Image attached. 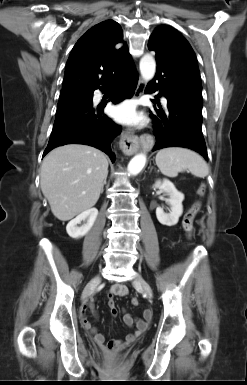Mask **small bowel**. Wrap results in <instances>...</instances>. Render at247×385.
I'll list each match as a JSON object with an SVG mask.
<instances>
[{
	"label": "small bowel",
	"mask_w": 247,
	"mask_h": 385,
	"mask_svg": "<svg viewBox=\"0 0 247 385\" xmlns=\"http://www.w3.org/2000/svg\"><path fill=\"white\" fill-rule=\"evenodd\" d=\"M127 293L128 288L124 284H114L107 291L108 306L110 308V313L113 317H115L118 313L113 298L115 296H125L127 295ZM94 301V297H91L88 302L80 308V319L84 329L92 335L97 345L102 348H105L106 344L104 335L98 332L97 329L91 325V323L86 317V311L89 308L93 309ZM123 320L128 327L134 328L133 333L128 334L123 341L112 340L108 343L107 346L112 345L114 348L123 349L132 344L151 323L152 312L150 310H144L141 318H136L133 315L126 313L123 316Z\"/></svg>",
	"instance_id": "c3829d8e"
}]
</instances>
